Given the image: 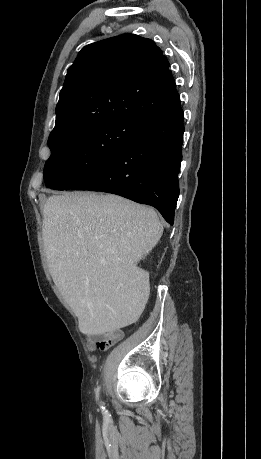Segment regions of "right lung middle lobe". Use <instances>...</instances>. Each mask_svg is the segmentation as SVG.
<instances>
[{
    "instance_id": "1",
    "label": "right lung middle lobe",
    "mask_w": 261,
    "mask_h": 459,
    "mask_svg": "<svg viewBox=\"0 0 261 459\" xmlns=\"http://www.w3.org/2000/svg\"><path fill=\"white\" fill-rule=\"evenodd\" d=\"M143 127L138 121L116 120L76 134L49 136L46 186L71 189L117 156Z\"/></svg>"
}]
</instances>
